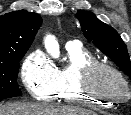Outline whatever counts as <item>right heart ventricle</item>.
I'll return each mask as SVG.
<instances>
[{
  "instance_id": "e07e8e85",
  "label": "right heart ventricle",
  "mask_w": 131,
  "mask_h": 115,
  "mask_svg": "<svg viewBox=\"0 0 131 115\" xmlns=\"http://www.w3.org/2000/svg\"><path fill=\"white\" fill-rule=\"evenodd\" d=\"M66 56L68 64L62 69H56L58 89L52 99L93 107L109 105L111 102L93 98L78 89V79L81 68L97 61L96 57L88 49L78 45L66 46Z\"/></svg>"
}]
</instances>
